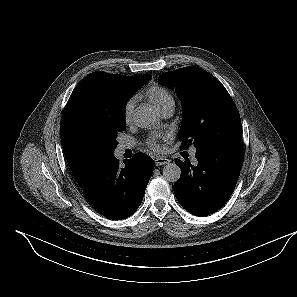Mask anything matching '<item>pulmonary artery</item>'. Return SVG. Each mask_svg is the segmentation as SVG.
Masks as SVG:
<instances>
[{
    "instance_id": "1",
    "label": "pulmonary artery",
    "mask_w": 297,
    "mask_h": 297,
    "mask_svg": "<svg viewBox=\"0 0 297 297\" xmlns=\"http://www.w3.org/2000/svg\"><path fill=\"white\" fill-rule=\"evenodd\" d=\"M173 112H174V103H169L168 105H166V106L160 111L161 115H162L163 117H165V118L170 117V116L173 114ZM129 148H132V145L129 144V143H125V144H122V145L120 146V149H121L122 151L125 150V149H129ZM194 154H195V152L193 151V152H192V160H193V162H195Z\"/></svg>"
}]
</instances>
